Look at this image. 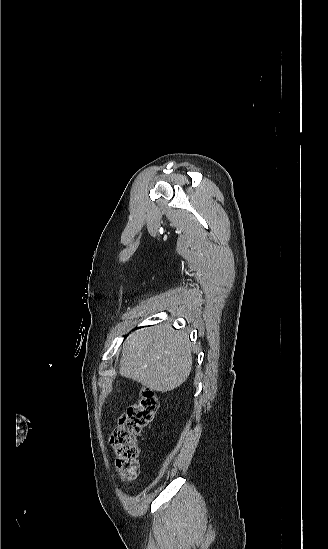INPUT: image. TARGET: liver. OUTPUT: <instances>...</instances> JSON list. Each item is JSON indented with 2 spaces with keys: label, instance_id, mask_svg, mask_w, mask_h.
I'll list each match as a JSON object with an SVG mask.
<instances>
[{
  "label": "liver",
  "instance_id": "obj_1",
  "mask_svg": "<svg viewBox=\"0 0 328 549\" xmlns=\"http://www.w3.org/2000/svg\"><path fill=\"white\" fill-rule=\"evenodd\" d=\"M192 369L187 333L173 331L170 323L138 329L125 343L119 373L150 391L167 393L180 387Z\"/></svg>",
  "mask_w": 328,
  "mask_h": 549
}]
</instances>
